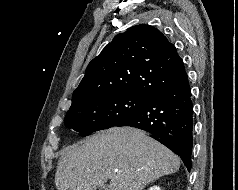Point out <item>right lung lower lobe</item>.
I'll list each match as a JSON object with an SVG mask.
<instances>
[{
	"mask_svg": "<svg viewBox=\"0 0 238 190\" xmlns=\"http://www.w3.org/2000/svg\"><path fill=\"white\" fill-rule=\"evenodd\" d=\"M115 126H132L153 134L156 140L179 155L190 171L193 104L187 74L159 92L143 109Z\"/></svg>",
	"mask_w": 238,
	"mask_h": 190,
	"instance_id": "right-lung-lower-lobe-1",
	"label": "right lung lower lobe"
}]
</instances>
